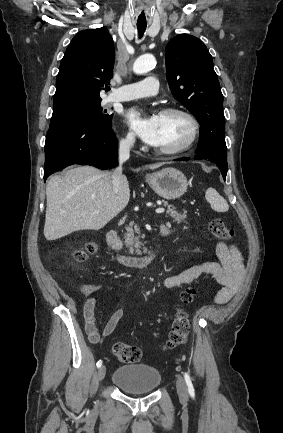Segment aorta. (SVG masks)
Instances as JSON below:
<instances>
[{
    "instance_id": "aorta-1",
    "label": "aorta",
    "mask_w": 283,
    "mask_h": 433,
    "mask_svg": "<svg viewBox=\"0 0 283 433\" xmlns=\"http://www.w3.org/2000/svg\"><path fill=\"white\" fill-rule=\"evenodd\" d=\"M155 65V57L151 54H145L136 59L133 65V71L138 75L145 74L152 70Z\"/></svg>"
}]
</instances>
